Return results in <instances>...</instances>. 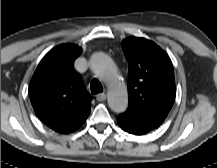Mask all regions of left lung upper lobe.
<instances>
[{"instance_id":"1","label":"left lung upper lobe","mask_w":217,"mask_h":168,"mask_svg":"<svg viewBox=\"0 0 217 168\" xmlns=\"http://www.w3.org/2000/svg\"><path fill=\"white\" fill-rule=\"evenodd\" d=\"M128 61L127 110L118 117L145 131L160 127L176 96L173 65L164 50L154 42L129 37L122 42Z\"/></svg>"}]
</instances>
